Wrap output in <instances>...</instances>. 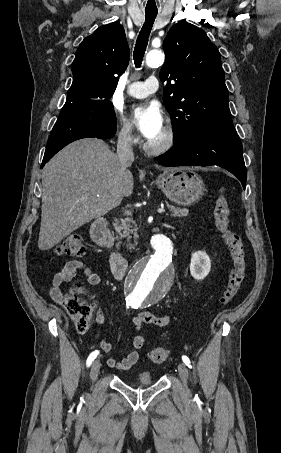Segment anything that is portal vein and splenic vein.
<instances>
[{
	"instance_id": "obj_1",
	"label": "portal vein and splenic vein",
	"mask_w": 281,
	"mask_h": 453,
	"mask_svg": "<svg viewBox=\"0 0 281 453\" xmlns=\"http://www.w3.org/2000/svg\"><path fill=\"white\" fill-rule=\"evenodd\" d=\"M166 210L162 207L158 208V214H162V212H165ZM125 214H131L130 210H125Z\"/></svg>"
}]
</instances>
